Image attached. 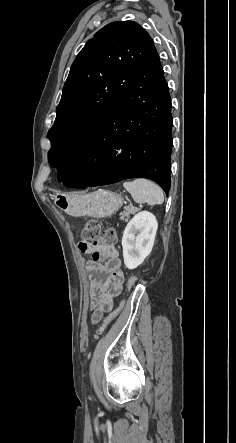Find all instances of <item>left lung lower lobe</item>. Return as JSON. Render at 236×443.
<instances>
[{
    "label": "left lung lower lobe",
    "instance_id": "obj_1",
    "mask_svg": "<svg viewBox=\"0 0 236 443\" xmlns=\"http://www.w3.org/2000/svg\"><path fill=\"white\" fill-rule=\"evenodd\" d=\"M172 124L171 98L155 50L77 155L58 172V180L67 187L86 188L143 177L168 195Z\"/></svg>",
    "mask_w": 236,
    "mask_h": 443
}]
</instances>
